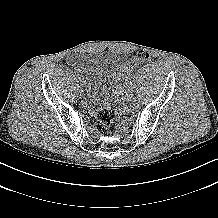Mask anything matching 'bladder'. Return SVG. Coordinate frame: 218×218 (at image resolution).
Returning a JSON list of instances; mask_svg holds the SVG:
<instances>
[{
  "label": "bladder",
  "instance_id": "31cf9c89",
  "mask_svg": "<svg viewBox=\"0 0 218 218\" xmlns=\"http://www.w3.org/2000/svg\"><path fill=\"white\" fill-rule=\"evenodd\" d=\"M78 64L84 71L85 95L93 108L111 104L113 90L125 76L126 66L122 59L112 53L81 55Z\"/></svg>",
  "mask_w": 218,
  "mask_h": 218
}]
</instances>
